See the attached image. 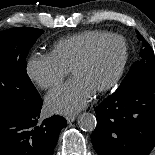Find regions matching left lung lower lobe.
<instances>
[{
	"label": "left lung lower lobe",
	"mask_w": 155,
	"mask_h": 155,
	"mask_svg": "<svg viewBox=\"0 0 155 155\" xmlns=\"http://www.w3.org/2000/svg\"><path fill=\"white\" fill-rule=\"evenodd\" d=\"M95 112L91 142L99 155H148L155 146V74L118 88Z\"/></svg>",
	"instance_id": "0a47b994"
}]
</instances>
